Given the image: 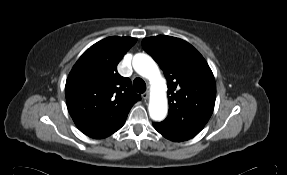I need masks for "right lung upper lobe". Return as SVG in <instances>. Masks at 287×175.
<instances>
[{
  "label": "right lung upper lobe",
  "instance_id": "1",
  "mask_svg": "<svg viewBox=\"0 0 287 175\" xmlns=\"http://www.w3.org/2000/svg\"><path fill=\"white\" fill-rule=\"evenodd\" d=\"M132 37H108L78 59L66 81L68 111L85 135L102 139L119 130L132 108L141 100L129 78L117 72V65L136 43Z\"/></svg>",
  "mask_w": 287,
  "mask_h": 175
}]
</instances>
